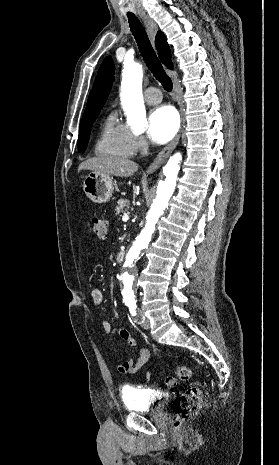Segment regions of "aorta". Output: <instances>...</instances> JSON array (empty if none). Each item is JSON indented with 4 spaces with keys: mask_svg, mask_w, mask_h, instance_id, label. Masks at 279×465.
Listing matches in <instances>:
<instances>
[{
    "mask_svg": "<svg viewBox=\"0 0 279 465\" xmlns=\"http://www.w3.org/2000/svg\"><path fill=\"white\" fill-rule=\"evenodd\" d=\"M142 66L137 63L124 66L121 82V103L127 116L129 125L135 130H144L146 122V111L142 95ZM182 155L174 154L163 168L165 179L157 188L156 198L147 213L146 225L140 235L130 247L123 266L121 276L122 295L125 302L134 301V290L136 277L134 266L141 251L146 248L151 241L159 217L168 206V202L175 190L176 179L180 170Z\"/></svg>",
    "mask_w": 279,
    "mask_h": 465,
    "instance_id": "762f6f07",
    "label": "aorta"
}]
</instances>
